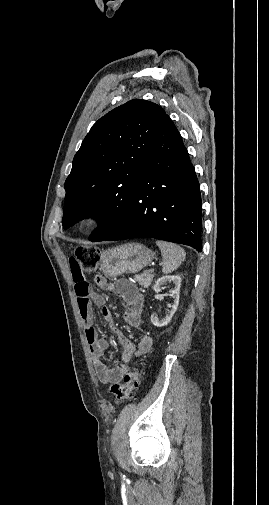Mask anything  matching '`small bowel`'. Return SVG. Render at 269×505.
I'll use <instances>...</instances> for the list:
<instances>
[{"label": "small bowel", "instance_id": "small-bowel-1", "mask_svg": "<svg viewBox=\"0 0 269 505\" xmlns=\"http://www.w3.org/2000/svg\"><path fill=\"white\" fill-rule=\"evenodd\" d=\"M67 267L72 272L75 282V292L79 306V312L84 324L86 340L94 360L95 370L98 379L104 384L119 383L128 373V363L132 356H141L150 351L153 340L152 337L144 334L136 347L121 331L114 327V319L110 308L106 305L104 298L99 295L90 293L89 284L86 279H91L93 274H83L81 271V262L79 259H69ZM96 284L101 287H109V289L118 295L126 303V309L123 317L125 322L133 328H141V314L143 309V297L138 290L128 281L120 280L112 285L107 284V281L102 276L95 278ZM101 308V314L105 322L112 328L121 345L123 352L120 355L119 363L114 367L106 365L102 357L108 348L105 340L100 339L93 325V310L92 305Z\"/></svg>", "mask_w": 269, "mask_h": 505}]
</instances>
